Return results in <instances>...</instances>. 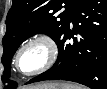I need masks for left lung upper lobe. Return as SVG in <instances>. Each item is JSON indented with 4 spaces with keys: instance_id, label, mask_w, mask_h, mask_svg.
I'll return each instance as SVG.
<instances>
[{
    "instance_id": "left-lung-upper-lobe-1",
    "label": "left lung upper lobe",
    "mask_w": 107,
    "mask_h": 89,
    "mask_svg": "<svg viewBox=\"0 0 107 89\" xmlns=\"http://www.w3.org/2000/svg\"><path fill=\"white\" fill-rule=\"evenodd\" d=\"M80 2L81 0H13L6 18V34L2 40V81L8 82L6 89L17 87L15 82L9 81V77L10 61L19 45L37 33L47 34L56 41ZM63 7L66 8L64 11Z\"/></svg>"
}]
</instances>
